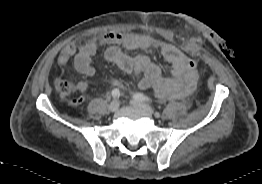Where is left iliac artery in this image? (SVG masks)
Listing matches in <instances>:
<instances>
[{
  "instance_id": "44dca946",
  "label": "left iliac artery",
  "mask_w": 262,
  "mask_h": 184,
  "mask_svg": "<svg viewBox=\"0 0 262 184\" xmlns=\"http://www.w3.org/2000/svg\"><path fill=\"white\" fill-rule=\"evenodd\" d=\"M133 98L135 100L141 101V102H147V103H152V101L150 100V98H148L147 96H145L142 93H136L133 95Z\"/></svg>"
}]
</instances>
